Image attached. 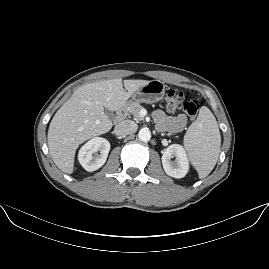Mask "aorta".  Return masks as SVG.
Listing matches in <instances>:
<instances>
[{
    "label": "aorta",
    "instance_id": "1",
    "mask_svg": "<svg viewBox=\"0 0 269 269\" xmlns=\"http://www.w3.org/2000/svg\"><path fill=\"white\" fill-rule=\"evenodd\" d=\"M139 138L142 140V141H148L150 140L151 138V131L149 128L147 127H142L140 130H139Z\"/></svg>",
    "mask_w": 269,
    "mask_h": 269
}]
</instances>
